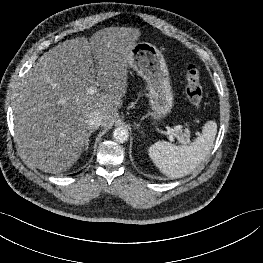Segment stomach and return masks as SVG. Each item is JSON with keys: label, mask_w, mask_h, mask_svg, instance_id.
Masks as SVG:
<instances>
[{"label": "stomach", "mask_w": 263, "mask_h": 263, "mask_svg": "<svg viewBox=\"0 0 263 263\" xmlns=\"http://www.w3.org/2000/svg\"><path fill=\"white\" fill-rule=\"evenodd\" d=\"M129 66L146 82L149 117L156 127L175 105L168 66L161 51L148 42H136L129 52Z\"/></svg>", "instance_id": "1"}]
</instances>
